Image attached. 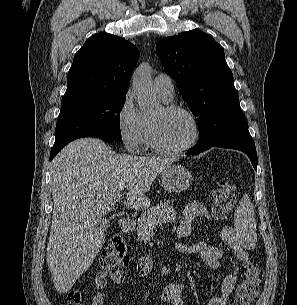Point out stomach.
I'll return each mask as SVG.
<instances>
[{
	"mask_svg": "<svg viewBox=\"0 0 297 305\" xmlns=\"http://www.w3.org/2000/svg\"><path fill=\"white\" fill-rule=\"evenodd\" d=\"M163 188L170 193L182 192L188 189L193 181L192 175L182 165H171L161 176Z\"/></svg>",
	"mask_w": 297,
	"mask_h": 305,
	"instance_id": "obj_1",
	"label": "stomach"
}]
</instances>
